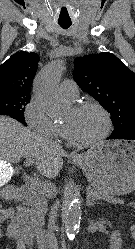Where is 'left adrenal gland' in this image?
Listing matches in <instances>:
<instances>
[{
    "mask_svg": "<svg viewBox=\"0 0 135 249\" xmlns=\"http://www.w3.org/2000/svg\"><path fill=\"white\" fill-rule=\"evenodd\" d=\"M96 204H100V203L91 200V198H90L89 196L87 197L86 205H87L88 207L94 206V205H96Z\"/></svg>",
    "mask_w": 135,
    "mask_h": 249,
    "instance_id": "1",
    "label": "left adrenal gland"
}]
</instances>
